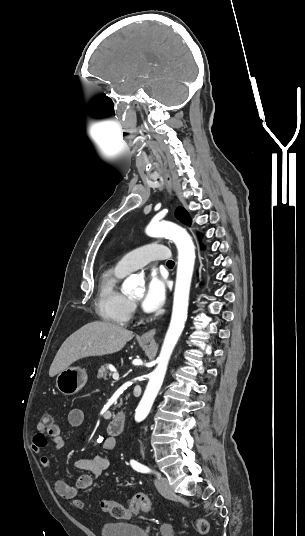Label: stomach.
I'll list each match as a JSON object with an SVG mask.
<instances>
[{"label":"stomach","mask_w":305,"mask_h":536,"mask_svg":"<svg viewBox=\"0 0 305 536\" xmlns=\"http://www.w3.org/2000/svg\"><path fill=\"white\" fill-rule=\"evenodd\" d=\"M87 380L88 376L85 370H81V368H67V370L59 372L56 378V388L64 396H72V394H77L79 390L84 388Z\"/></svg>","instance_id":"1"}]
</instances>
